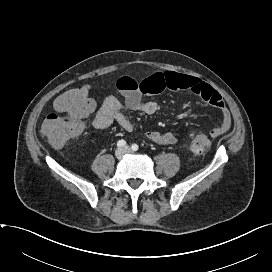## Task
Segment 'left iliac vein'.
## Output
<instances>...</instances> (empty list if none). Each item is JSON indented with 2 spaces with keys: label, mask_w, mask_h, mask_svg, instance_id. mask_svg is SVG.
Instances as JSON below:
<instances>
[{
  "label": "left iliac vein",
  "mask_w": 272,
  "mask_h": 272,
  "mask_svg": "<svg viewBox=\"0 0 272 272\" xmlns=\"http://www.w3.org/2000/svg\"><path fill=\"white\" fill-rule=\"evenodd\" d=\"M124 150L125 153H132V150L128 146L124 147Z\"/></svg>",
  "instance_id": "left-iliac-vein-1"
}]
</instances>
